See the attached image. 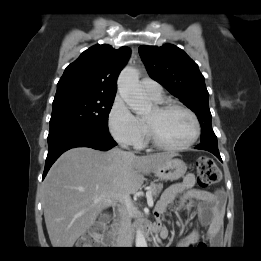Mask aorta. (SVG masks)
<instances>
[{
	"instance_id": "aorta-1",
	"label": "aorta",
	"mask_w": 261,
	"mask_h": 261,
	"mask_svg": "<svg viewBox=\"0 0 261 261\" xmlns=\"http://www.w3.org/2000/svg\"><path fill=\"white\" fill-rule=\"evenodd\" d=\"M118 91L122 99L137 114H143L150 110L151 103L143 94L136 69L125 67L121 71L118 78ZM135 243L137 248L147 247L145 237L140 230H137Z\"/></svg>"
}]
</instances>
